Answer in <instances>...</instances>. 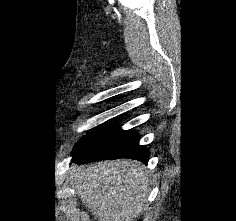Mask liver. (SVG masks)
I'll return each instance as SVG.
<instances>
[{
    "instance_id": "6515ba94",
    "label": "liver",
    "mask_w": 236,
    "mask_h": 221,
    "mask_svg": "<svg viewBox=\"0 0 236 221\" xmlns=\"http://www.w3.org/2000/svg\"><path fill=\"white\" fill-rule=\"evenodd\" d=\"M70 184L98 221H134L146 205L149 178L132 160L73 166Z\"/></svg>"
}]
</instances>
